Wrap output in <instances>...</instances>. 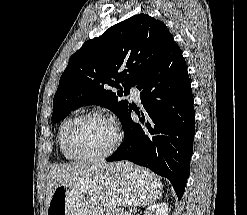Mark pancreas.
I'll return each instance as SVG.
<instances>
[{"label":"pancreas","instance_id":"pancreas-1","mask_svg":"<svg viewBox=\"0 0 247 215\" xmlns=\"http://www.w3.org/2000/svg\"><path fill=\"white\" fill-rule=\"evenodd\" d=\"M106 215H125V212L123 210H121V211L112 210V211L106 213Z\"/></svg>","mask_w":247,"mask_h":215}]
</instances>
